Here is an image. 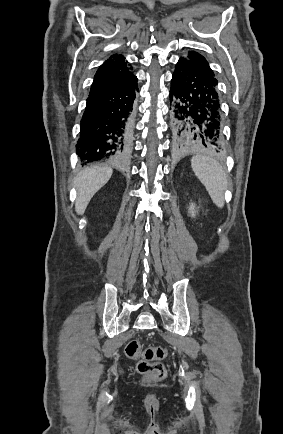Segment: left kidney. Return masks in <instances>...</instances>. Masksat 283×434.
Wrapping results in <instances>:
<instances>
[{"label": "left kidney", "mask_w": 283, "mask_h": 434, "mask_svg": "<svg viewBox=\"0 0 283 434\" xmlns=\"http://www.w3.org/2000/svg\"><path fill=\"white\" fill-rule=\"evenodd\" d=\"M189 212H190V214H191L192 217L195 216V213H196L197 211H196V209H195V205H194V204H191V205H190V207H189Z\"/></svg>", "instance_id": "obj_1"}]
</instances>
